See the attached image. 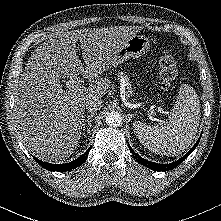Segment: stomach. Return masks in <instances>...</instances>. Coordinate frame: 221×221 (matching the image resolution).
<instances>
[{
	"label": "stomach",
	"instance_id": "stomach-1",
	"mask_svg": "<svg viewBox=\"0 0 221 221\" xmlns=\"http://www.w3.org/2000/svg\"><path fill=\"white\" fill-rule=\"evenodd\" d=\"M150 48V40L143 35H133L128 39L114 55L113 62L110 67H116L126 59L133 57L138 58L148 52Z\"/></svg>",
	"mask_w": 221,
	"mask_h": 221
}]
</instances>
